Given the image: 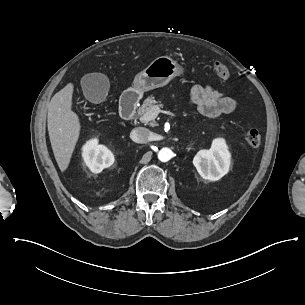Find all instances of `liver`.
Segmentation results:
<instances>
[{"label":"liver","mask_w":305,"mask_h":305,"mask_svg":"<svg viewBox=\"0 0 305 305\" xmlns=\"http://www.w3.org/2000/svg\"><path fill=\"white\" fill-rule=\"evenodd\" d=\"M73 88L67 84L47 104L50 142L62 172L68 168L80 132L78 116L71 110Z\"/></svg>","instance_id":"6515ba94"}]
</instances>
